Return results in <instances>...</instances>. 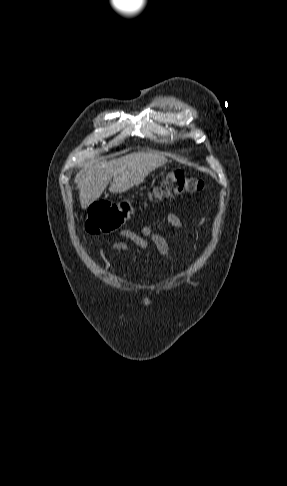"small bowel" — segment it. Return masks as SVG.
<instances>
[{"mask_svg":"<svg viewBox=\"0 0 287 486\" xmlns=\"http://www.w3.org/2000/svg\"><path fill=\"white\" fill-rule=\"evenodd\" d=\"M165 220L171 226L183 230L184 225L180 218L175 213L165 214ZM119 236L124 240H119L113 243L112 249L116 251L128 252L129 245L126 241L133 243L142 250H146L150 245H153L159 254L166 260L168 265L173 262V255L166 240L159 234L155 233L151 226H143L139 232L129 229H122ZM126 240V241H125Z\"/></svg>","mask_w":287,"mask_h":486,"instance_id":"1","label":"small bowel"}]
</instances>
